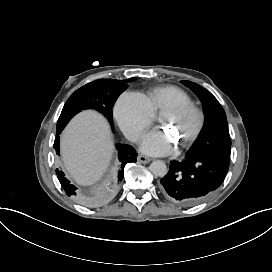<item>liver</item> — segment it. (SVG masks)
Wrapping results in <instances>:
<instances>
[{
	"mask_svg": "<svg viewBox=\"0 0 272 272\" xmlns=\"http://www.w3.org/2000/svg\"><path fill=\"white\" fill-rule=\"evenodd\" d=\"M113 152L109 124L92 110L76 115L61 137L62 161L68 177L81 186H92L101 179Z\"/></svg>",
	"mask_w": 272,
	"mask_h": 272,
	"instance_id": "6515ba94",
	"label": "liver"
}]
</instances>
